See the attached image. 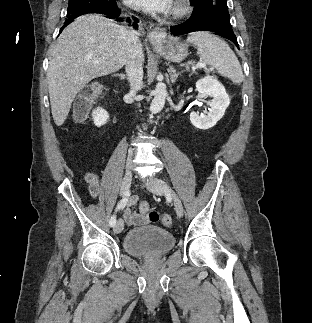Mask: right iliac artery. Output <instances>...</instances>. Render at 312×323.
I'll use <instances>...</instances> for the list:
<instances>
[{
  "label": "right iliac artery",
  "mask_w": 312,
  "mask_h": 323,
  "mask_svg": "<svg viewBox=\"0 0 312 323\" xmlns=\"http://www.w3.org/2000/svg\"><path fill=\"white\" fill-rule=\"evenodd\" d=\"M128 203V195H126L117 205V209H121V208H124ZM116 224V217L115 215H113L109 221V225L111 227L115 226Z\"/></svg>",
  "instance_id": "1"
}]
</instances>
